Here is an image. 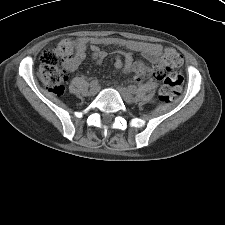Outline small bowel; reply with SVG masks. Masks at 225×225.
I'll use <instances>...</instances> for the list:
<instances>
[{"label":"small bowel","instance_id":"obj_1","mask_svg":"<svg viewBox=\"0 0 225 225\" xmlns=\"http://www.w3.org/2000/svg\"><path fill=\"white\" fill-rule=\"evenodd\" d=\"M77 49L75 60L71 63L65 64V68L69 72L75 71L81 62L86 58L87 46L90 44L92 52V58L101 64L107 57V52L102 50L99 45L101 44H118V42L111 38H87L81 37L77 39ZM131 49L138 52L150 63H157L159 55L161 53V47L158 44L152 43H136L130 46ZM144 67L143 62L134 61L131 53L125 51H118L114 58V73L123 71L124 73L134 72L135 75L140 73V70Z\"/></svg>","mask_w":225,"mask_h":225}]
</instances>
